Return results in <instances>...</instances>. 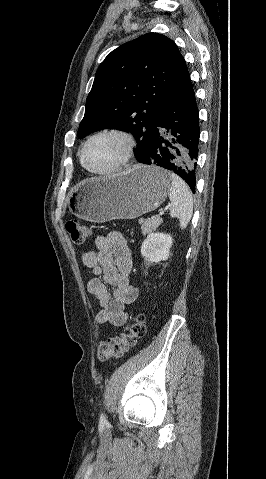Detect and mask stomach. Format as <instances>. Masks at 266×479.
Masks as SVG:
<instances>
[{"instance_id":"1","label":"stomach","mask_w":266,"mask_h":479,"mask_svg":"<svg viewBox=\"0 0 266 479\" xmlns=\"http://www.w3.org/2000/svg\"><path fill=\"white\" fill-rule=\"evenodd\" d=\"M170 186L168 171L137 164L122 173L78 184L71 190L67 205L77 217L94 223L134 219L157 209Z\"/></svg>"}]
</instances>
